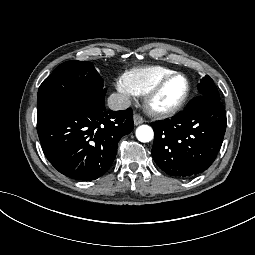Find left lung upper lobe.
<instances>
[{"instance_id":"left-lung-upper-lobe-1","label":"left lung upper lobe","mask_w":255,"mask_h":255,"mask_svg":"<svg viewBox=\"0 0 255 255\" xmlns=\"http://www.w3.org/2000/svg\"><path fill=\"white\" fill-rule=\"evenodd\" d=\"M197 87L200 92V95H207L220 100L217 87L214 84L213 80L208 75L202 78Z\"/></svg>"}]
</instances>
